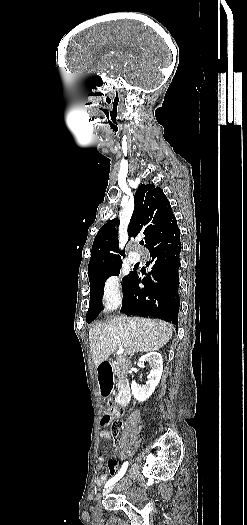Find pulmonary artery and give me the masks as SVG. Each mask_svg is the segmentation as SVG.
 <instances>
[{
    "label": "pulmonary artery",
    "mask_w": 247,
    "mask_h": 525,
    "mask_svg": "<svg viewBox=\"0 0 247 525\" xmlns=\"http://www.w3.org/2000/svg\"><path fill=\"white\" fill-rule=\"evenodd\" d=\"M127 254L129 255V261H141L140 248H136L135 252L129 249Z\"/></svg>",
    "instance_id": "obj_1"
}]
</instances>
